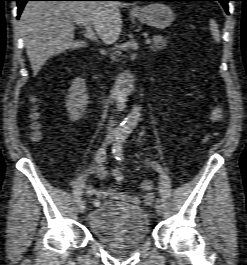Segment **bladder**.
<instances>
[{"mask_svg":"<svg viewBox=\"0 0 247 265\" xmlns=\"http://www.w3.org/2000/svg\"><path fill=\"white\" fill-rule=\"evenodd\" d=\"M88 227L98 242L116 249L128 248L147 239L149 219L138 205L104 202L90 212Z\"/></svg>","mask_w":247,"mask_h":265,"instance_id":"bladder-1","label":"bladder"}]
</instances>
